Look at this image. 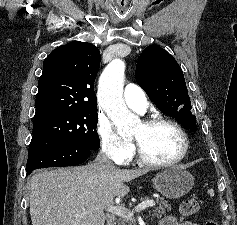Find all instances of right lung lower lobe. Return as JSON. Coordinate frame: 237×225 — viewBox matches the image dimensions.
I'll list each match as a JSON object with an SVG mask.
<instances>
[{
  "label": "right lung lower lobe",
  "instance_id": "98d812e1",
  "mask_svg": "<svg viewBox=\"0 0 237 225\" xmlns=\"http://www.w3.org/2000/svg\"><path fill=\"white\" fill-rule=\"evenodd\" d=\"M93 150L59 138L33 135L26 166L27 175L35 169L78 165L87 160Z\"/></svg>",
  "mask_w": 237,
  "mask_h": 225
}]
</instances>
